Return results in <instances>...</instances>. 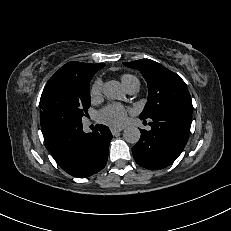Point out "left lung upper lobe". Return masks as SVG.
Wrapping results in <instances>:
<instances>
[{
  "label": "left lung upper lobe",
  "mask_w": 231,
  "mask_h": 231,
  "mask_svg": "<svg viewBox=\"0 0 231 231\" xmlns=\"http://www.w3.org/2000/svg\"><path fill=\"white\" fill-rule=\"evenodd\" d=\"M123 64L139 70L148 84V100L140 119L151 118L166 110L192 113L193 106L186 83L177 74L150 59Z\"/></svg>",
  "instance_id": "5c2ea615"
}]
</instances>
